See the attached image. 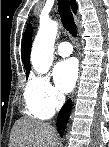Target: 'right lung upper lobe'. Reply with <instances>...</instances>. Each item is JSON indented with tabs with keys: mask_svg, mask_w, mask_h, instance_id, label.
Wrapping results in <instances>:
<instances>
[{
	"mask_svg": "<svg viewBox=\"0 0 109 147\" xmlns=\"http://www.w3.org/2000/svg\"><path fill=\"white\" fill-rule=\"evenodd\" d=\"M71 7L73 12L75 13L77 10V3L75 0H71ZM31 37H32V26L29 25L25 31L23 41H22V50H21V56L22 61L24 63L25 68L27 69L26 74L30 71V50H31Z\"/></svg>",
	"mask_w": 109,
	"mask_h": 147,
	"instance_id": "right-lung-upper-lobe-1",
	"label": "right lung upper lobe"
}]
</instances>
